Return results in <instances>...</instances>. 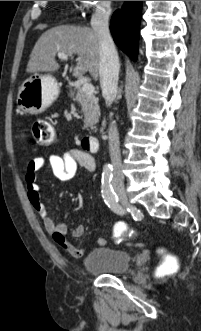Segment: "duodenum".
Instances as JSON below:
<instances>
[{
	"label": "duodenum",
	"mask_w": 201,
	"mask_h": 331,
	"mask_svg": "<svg viewBox=\"0 0 201 331\" xmlns=\"http://www.w3.org/2000/svg\"><path fill=\"white\" fill-rule=\"evenodd\" d=\"M82 145L90 152H97L99 148V141L94 136H86L82 139Z\"/></svg>",
	"instance_id": "410a0bca"
}]
</instances>
